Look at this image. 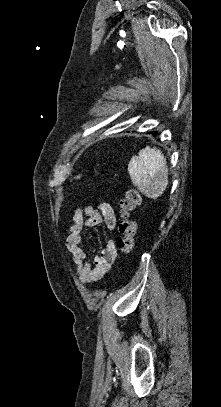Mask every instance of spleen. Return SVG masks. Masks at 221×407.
<instances>
[{"instance_id":"spleen-1","label":"spleen","mask_w":221,"mask_h":407,"mask_svg":"<svg viewBox=\"0 0 221 407\" xmlns=\"http://www.w3.org/2000/svg\"><path fill=\"white\" fill-rule=\"evenodd\" d=\"M134 186L146 197L156 199L168 185V168L164 155L153 147H145L128 164Z\"/></svg>"}]
</instances>
